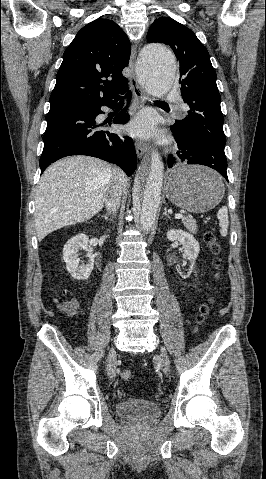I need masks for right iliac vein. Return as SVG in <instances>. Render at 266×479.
Instances as JSON below:
<instances>
[{
	"label": "right iliac vein",
	"mask_w": 266,
	"mask_h": 479,
	"mask_svg": "<svg viewBox=\"0 0 266 479\" xmlns=\"http://www.w3.org/2000/svg\"><path fill=\"white\" fill-rule=\"evenodd\" d=\"M115 358H116V351L114 349H111L107 359V369L110 371L114 369Z\"/></svg>",
	"instance_id": "obj_1"
}]
</instances>
